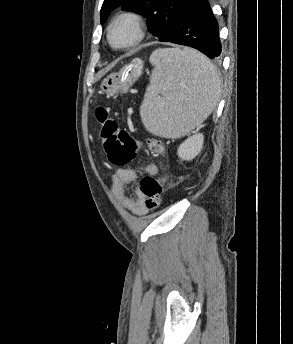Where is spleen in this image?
<instances>
[{
  "instance_id": "obj_1",
  "label": "spleen",
  "mask_w": 293,
  "mask_h": 344,
  "mask_svg": "<svg viewBox=\"0 0 293 344\" xmlns=\"http://www.w3.org/2000/svg\"><path fill=\"white\" fill-rule=\"evenodd\" d=\"M149 61L154 69L140 107L141 120L154 135L184 136L216 108L219 73L207 57L189 48L157 49Z\"/></svg>"
}]
</instances>
